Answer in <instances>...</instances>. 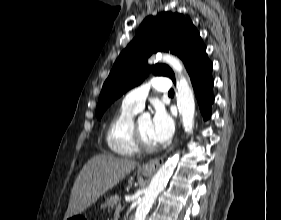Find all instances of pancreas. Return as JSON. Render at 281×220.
Wrapping results in <instances>:
<instances>
[{
    "instance_id": "1",
    "label": "pancreas",
    "mask_w": 281,
    "mask_h": 220,
    "mask_svg": "<svg viewBox=\"0 0 281 220\" xmlns=\"http://www.w3.org/2000/svg\"><path fill=\"white\" fill-rule=\"evenodd\" d=\"M120 203V197L118 195L111 196L106 202L102 205L104 208H108V211L113 209V207Z\"/></svg>"
}]
</instances>
